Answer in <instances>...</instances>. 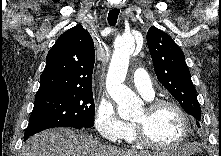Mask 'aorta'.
<instances>
[{"mask_svg": "<svg viewBox=\"0 0 221 156\" xmlns=\"http://www.w3.org/2000/svg\"><path fill=\"white\" fill-rule=\"evenodd\" d=\"M135 49V37L123 34L115 42L110 67L106 78V88L111 98L118 104L119 116L130 119L142 111V101L124 84L130 55Z\"/></svg>", "mask_w": 221, "mask_h": 156, "instance_id": "obj_1", "label": "aorta"}]
</instances>
